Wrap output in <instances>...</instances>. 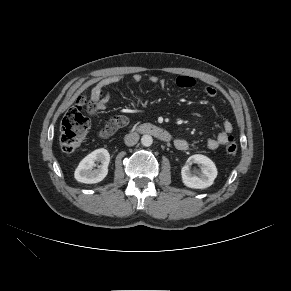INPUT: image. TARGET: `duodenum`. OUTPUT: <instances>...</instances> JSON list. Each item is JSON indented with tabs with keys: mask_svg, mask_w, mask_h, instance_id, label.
<instances>
[{
	"mask_svg": "<svg viewBox=\"0 0 291 291\" xmlns=\"http://www.w3.org/2000/svg\"><path fill=\"white\" fill-rule=\"evenodd\" d=\"M138 130L141 133L152 135L164 142H169L171 140V135L168 131L153 124H142L138 127Z\"/></svg>",
	"mask_w": 291,
	"mask_h": 291,
	"instance_id": "obj_1",
	"label": "duodenum"
}]
</instances>
